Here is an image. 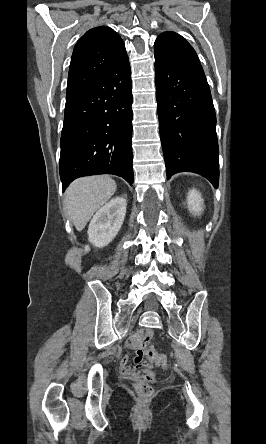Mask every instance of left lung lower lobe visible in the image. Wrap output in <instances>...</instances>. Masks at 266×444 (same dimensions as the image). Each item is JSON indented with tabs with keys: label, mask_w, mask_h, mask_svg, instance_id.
Returning <instances> with one entry per match:
<instances>
[{
	"label": "left lung lower lobe",
	"mask_w": 266,
	"mask_h": 444,
	"mask_svg": "<svg viewBox=\"0 0 266 444\" xmlns=\"http://www.w3.org/2000/svg\"><path fill=\"white\" fill-rule=\"evenodd\" d=\"M156 98L167 179L198 173L219 182L216 115L203 70L182 69L155 58Z\"/></svg>",
	"instance_id": "left-lung-lower-lobe-1"
}]
</instances>
